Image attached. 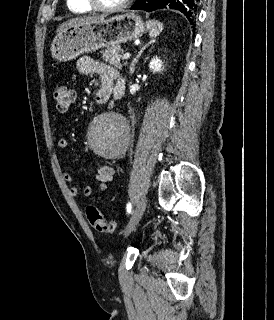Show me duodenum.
<instances>
[{
  "mask_svg": "<svg viewBox=\"0 0 274 320\" xmlns=\"http://www.w3.org/2000/svg\"><path fill=\"white\" fill-rule=\"evenodd\" d=\"M109 94L105 91H100L96 94L95 102L98 104H104L109 101Z\"/></svg>",
  "mask_w": 274,
  "mask_h": 320,
  "instance_id": "obj_1",
  "label": "duodenum"
}]
</instances>
